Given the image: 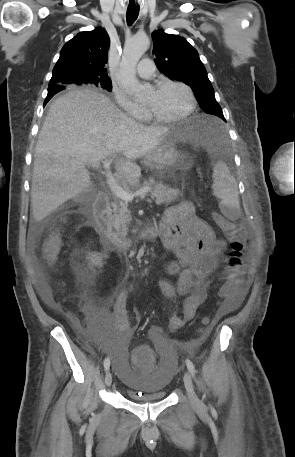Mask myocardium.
Instances as JSON below:
<instances>
[{"mask_svg": "<svg viewBox=\"0 0 295 457\" xmlns=\"http://www.w3.org/2000/svg\"><path fill=\"white\" fill-rule=\"evenodd\" d=\"M168 85L179 86V87L183 88L188 95L189 106L183 113H181L177 116H173V117L160 116L157 113H155L150 107L145 106V109H146V112H147V115L149 116V118L158 123H174V122H179V121L185 120L195 111L196 106H197V101H196V97H195L193 90L191 89V87L189 85H187L184 82L177 81V80H171V79H161L155 83L154 89H160V88H162L164 86H168Z\"/></svg>", "mask_w": 295, "mask_h": 457, "instance_id": "1", "label": "myocardium"}]
</instances>
